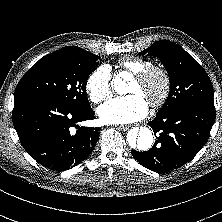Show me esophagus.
Wrapping results in <instances>:
<instances>
[{"instance_id": "obj_1", "label": "esophagus", "mask_w": 222, "mask_h": 222, "mask_svg": "<svg viewBox=\"0 0 222 222\" xmlns=\"http://www.w3.org/2000/svg\"><path fill=\"white\" fill-rule=\"evenodd\" d=\"M118 129L122 130V131H126L129 129V126L128 125H119L118 126Z\"/></svg>"}]
</instances>
